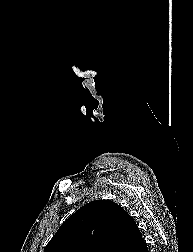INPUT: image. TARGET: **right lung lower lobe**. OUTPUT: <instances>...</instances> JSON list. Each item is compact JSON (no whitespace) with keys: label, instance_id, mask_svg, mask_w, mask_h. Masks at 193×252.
Here are the masks:
<instances>
[{"label":"right lung lower lobe","instance_id":"1","mask_svg":"<svg viewBox=\"0 0 193 252\" xmlns=\"http://www.w3.org/2000/svg\"><path fill=\"white\" fill-rule=\"evenodd\" d=\"M131 252H148V248L144 240L142 239L141 242L135 246Z\"/></svg>","mask_w":193,"mask_h":252}]
</instances>
